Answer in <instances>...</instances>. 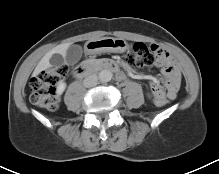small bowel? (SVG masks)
I'll return each instance as SVG.
<instances>
[{
	"instance_id": "1",
	"label": "small bowel",
	"mask_w": 219,
	"mask_h": 174,
	"mask_svg": "<svg viewBox=\"0 0 219 174\" xmlns=\"http://www.w3.org/2000/svg\"><path fill=\"white\" fill-rule=\"evenodd\" d=\"M151 47L156 54V65L161 68L162 73L166 77V87H163L160 83H153L151 85V92L159 98L174 99L180 84V71L168 51L154 44L151 45ZM126 69L131 73L130 68L126 67ZM123 77L124 74L120 72L118 74V79H122Z\"/></svg>"
}]
</instances>
